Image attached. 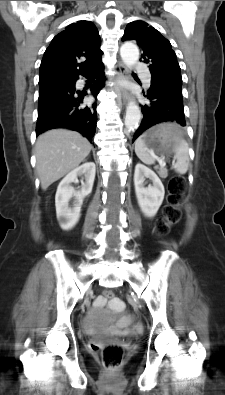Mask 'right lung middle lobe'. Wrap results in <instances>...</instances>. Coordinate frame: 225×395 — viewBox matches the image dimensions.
I'll return each mask as SVG.
<instances>
[{
    "label": "right lung middle lobe",
    "mask_w": 225,
    "mask_h": 395,
    "mask_svg": "<svg viewBox=\"0 0 225 395\" xmlns=\"http://www.w3.org/2000/svg\"><path fill=\"white\" fill-rule=\"evenodd\" d=\"M53 87V86H52ZM51 87H46V88H40L39 90V94L44 93L45 91H47L48 89H50Z\"/></svg>",
    "instance_id": "right-lung-middle-lobe-1"
}]
</instances>
